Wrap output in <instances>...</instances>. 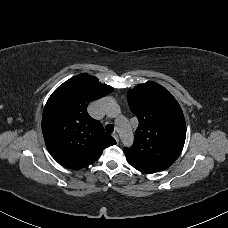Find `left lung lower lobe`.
<instances>
[{"label":"left lung lower lobe","instance_id":"left-lung-lower-lobe-1","mask_svg":"<svg viewBox=\"0 0 228 228\" xmlns=\"http://www.w3.org/2000/svg\"><path fill=\"white\" fill-rule=\"evenodd\" d=\"M128 163L130 165H132L134 168H136L137 170L141 171V172H144V173H154V172H157L156 170L154 169H151V168H148V167H144V166H141V165H138V164H134L132 163L130 160H128Z\"/></svg>","mask_w":228,"mask_h":228}]
</instances>
